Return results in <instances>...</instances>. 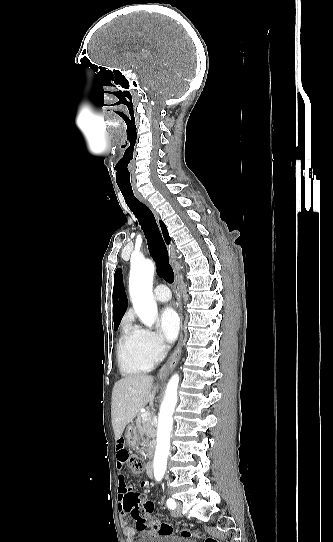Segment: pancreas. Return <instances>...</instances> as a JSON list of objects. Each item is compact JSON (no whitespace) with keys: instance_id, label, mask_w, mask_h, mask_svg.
Wrapping results in <instances>:
<instances>
[{"instance_id":"cf45deb5","label":"pancreas","mask_w":333,"mask_h":542,"mask_svg":"<svg viewBox=\"0 0 333 542\" xmlns=\"http://www.w3.org/2000/svg\"><path fill=\"white\" fill-rule=\"evenodd\" d=\"M142 414H137L136 428L140 434L141 446L146 450L147 458H153V452L156 444V430L153 428V420H143Z\"/></svg>"}]
</instances>
